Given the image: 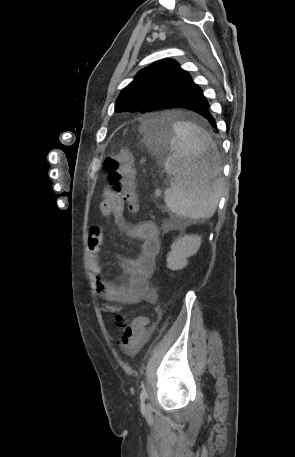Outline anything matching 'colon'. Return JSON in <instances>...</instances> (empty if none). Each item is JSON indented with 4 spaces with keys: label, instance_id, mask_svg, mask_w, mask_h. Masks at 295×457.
Here are the masks:
<instances>
[{
    "label": "colon",
    "instance_id": "colon-1",
    "mask_svg": "<svg viewBox=\"0 0 295 457\" xmlns=\"http://www.w3.org/2000/svg\"><path fill=\"white\" fill-rule=\"evenodd\" d=\"M108 181L113 192L126 203L133 212L138 210L135 191V169L133 158L129 151L121 150L108 156L104 163ZM116 320L124 324V318L117 314ZM147 320L143 316L136 317L130 323L124 324L123 334L119 344L129 351L134 350L144 340Z\"/></svg>",
    "mask_w": 295,
    "mask_h": 457
}]
</instances>
